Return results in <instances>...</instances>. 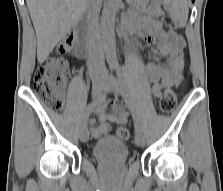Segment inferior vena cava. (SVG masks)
Wrapping results in <instances>:
<instances>
[{
	"mask_svg": "<svg viewBox=\"0 0 223 191\" xmlns=\"http://www.w3.org/2000/svg\"><path fill=\"white\" fill-rule=\"evenodd\" d=\"M101 8V0H86L87 20L91 27L89 34V48L91 50L90 71L93 74L96 65L99 70L104 68V53L101 43L99 12Z\"/></svg>",
	"mask_w": 223,
	"mask_h": 191,
	"instance_id": "inferior-vena-cava-1",
	"label": "inferior vena cava"
}]
</instances>
